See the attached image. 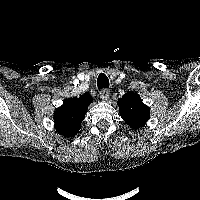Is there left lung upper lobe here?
I'll return each instance as SVG.
<instances>
[{"label":"left lung upper lobe","instance_id":"1","mask_svg":"<svg viewBox=\"0 0 200 200\" xmlns=\"http://www.w3.org/2000/svg\"><path fill=\"white\" fill-rule=\"evenodd\" d=\"M122 119L132 128L142 127L150 116V108L146 106L137 93L127 92L118 100Z\"/></svg>","mask_w":200,"mask_h":200}]
</instances>
